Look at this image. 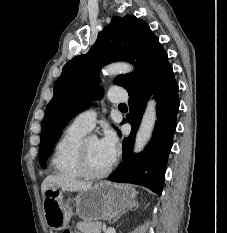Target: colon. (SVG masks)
I'll return each instance as SVG.
<instances>
[{
  "label": "colon",
  "mask_w": 227,
  "mask_h": 233,
  "mask_svg": "<svg viewBox=\"0 0 227 233\" xmlns=\"http://www.w3.org/2000/svg\"><path fill=\"white\" fill-rule=\"evenodd\" d=\"M63 233H71L69 230H65Z\"/></svg>",
  "instance_id": "colon-1"
}]
</instances>
